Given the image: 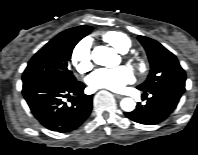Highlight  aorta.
<instances>
[{"instance_id":"762f6f07","label":"aorta","mask_w":198,"mask_h":155,"mask_svg":"<svg viewBox=\"0 0 198 155\" xmlns=\"http://www.w3.org/2000/svg\"><path fill=\"white\" fill-rule=\"evenodd\" d=\"M93 61L101 66L115 67L119 63V56L111 48L97 46L92 51ZM123 111L131 112L135 109L136 103L132 98H123L120 102Z\"/></svg>"}]
</instances>
